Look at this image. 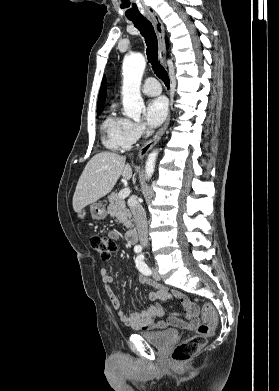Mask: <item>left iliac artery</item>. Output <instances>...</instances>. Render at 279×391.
<instances>
[{"instance_id": "left-iliac-artery-1", "label": "left iliac artery", "mask_w": 279, "mask_h": 391, "mask_svg": "<svg viewBox=\"0 0 279 391\" xmlns=\"http://www.w3.org/2000/svg\"><path fill=\"white\" fill-rule=\"evenodd\" d=\"M136 267L144 275H151V269L144 262V255L140 254L136 258Z\"/></svg>"}]
</instances>
